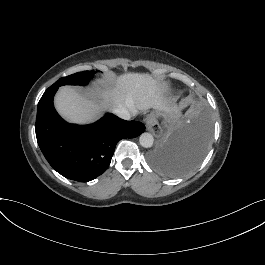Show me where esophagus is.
I'll return each mask as SVG.
<instances>
[{
  "label": "esophagus",
  "instance_id": "34e87169",
  "mask_svg": "<svg viewBox=\"0 0 265 265\" xmlns=\"http://www.w3.org/2000/svg\"><path fill=\"white\" fill-rule=\"evenodd\" d=\"M146 128L156 137L160 136L163 133V129L161 128L160 124L155 120L153 115H149L146 118Z\"/></svg>",
  "mask_w": 265,
  "mask_h": 265
}]
</instances>
